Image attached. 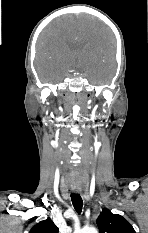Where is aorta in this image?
Segmentation results:
<instances>
[{"label":"aorta","mask_w":148,"mask_h":233,"mask_svg":"<svg viewBox=\"0 0 148 233\" xmlns=\"http://www.w3.org/2000/svg\"><path fill=\"white\" fill-rule=\"evenodd\" d=\"M78 233H98L94 227H85L78 231Z\"/></svg>","instance_id":"762f6f07"}]
</instances>
